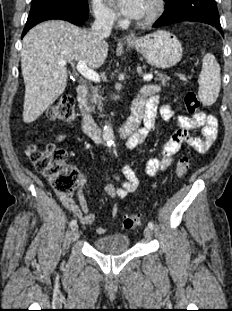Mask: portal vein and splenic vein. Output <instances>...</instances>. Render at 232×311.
<instances>
[{"label": "portal vein and splenic vein", "instance_id": "portal-vein-and-splenic-vein-1", "mask_svg": "<svg viewBox=\"0 0 232 311\" xmlns=\"http://www.w3.org/2000/svg\"><path fill=\"white\" fill-rule=\"evenodd\" d=\"M67 62L65 60L59 61V65L65 66ZM77 71L86 79L93 81V82H100V76L97 72L87 67L84 61H78L76 65ZM153 79L152 74H145L143 76L144 81H151Z\"/></svg>", "mask_w": 232, "mask_h": 311}]
</instances>
